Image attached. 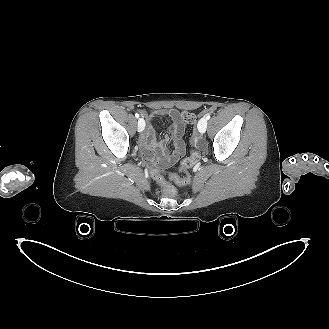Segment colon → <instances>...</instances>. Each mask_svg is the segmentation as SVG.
Listing matches in <instances>:
<instances>
[{"mask_svg":"<svg viewBox=\"0 0 329 329\" xmlns=\"http://www.w3.org/2000/svg\"><path fill=\"white\" fill-rule=\"evenodd\" d=\"M181 119L187 124H193L196 122V114L190 111H184L181 114ZM199 157L200 153L198 149L193 148L190 150L189 156L180 163L178 174H171L165 169H154L152 171L153 179L158 181L164 188L162 192L164 199H171L172 201L179 199V194L173 190V184L169 179L178 185L188 184L190 182L189 169L197 163Z\"/></svg>","mask_w":329,"mask_h":329,"instance_id":"5ec220e1","label":"colon"}]
</instances>
